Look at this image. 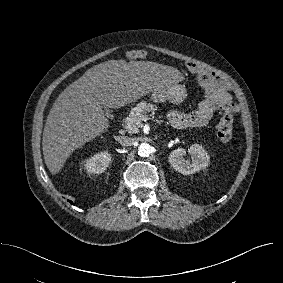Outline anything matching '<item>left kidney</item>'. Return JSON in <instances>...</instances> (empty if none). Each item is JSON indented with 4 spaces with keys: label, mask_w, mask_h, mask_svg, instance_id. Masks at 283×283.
Returning <instances> with one entry per match:
<instances>
[{
    "label": "left kidney",
    "mask_w": 283,
    "mask_h": 283,
    "mask_svg": "<svg viewBox=\"0 0 283 283\" xmlns=\"http://www.w3.org/2000/svg\"><path fill=\"white\" fill-rule=\"evenodd\" d=\"M191 155L192 161L185 160L186 153ZM171 166L178 172L189 175L206 168L209 165L210 158L200 144H193L188 151L178 148L172 151L168 157Z\"/></svg>",
    "instance_id": "5707ae66"
}]
</instances>
